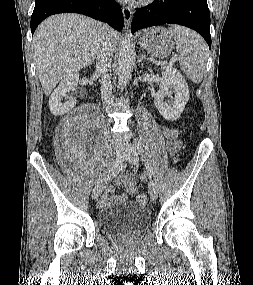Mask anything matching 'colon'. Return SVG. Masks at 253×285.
Listing matches in <instances>:
<instances>
[{
    "label": "colon",
    "mask_w": 253,
    "mask_h": 285,
    "mask_svg": "<svg viewBox=\"0 0 253 285\" xmlns=\"http://www.w3.org/2000/svg\"><path fill=\"white\" fill-rule=\"evenodd\" d=\"M137 201L140 204H146L148 202L147 195L145 193H140L137 195Z\"/></svg>",
    "instance_id": "colon-1"
}]
</instances>
